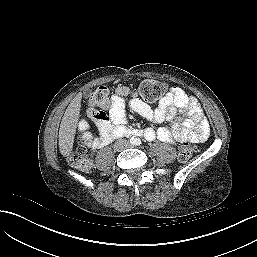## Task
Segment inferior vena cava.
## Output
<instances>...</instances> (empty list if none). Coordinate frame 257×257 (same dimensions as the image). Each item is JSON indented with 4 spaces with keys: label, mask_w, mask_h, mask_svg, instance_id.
<instances>
[{
    "label": "inferior vena cava",
    "mask_w": 257,
    "mask_h": 257,
    "mask_svg": "<svg viewBox=\"0 0 257 257\" xmlns=\"http://www.w3.org/2000/svg\"><path fill=\"white\" fill-rule=\"evenodd\" d=\"M126 147V146H128V142L126 141V140H124V139H120V140H118L117 142H116V144H115V147Z\"/></svg>",
    "instance_id": "602c4592"
}]
</instances>
